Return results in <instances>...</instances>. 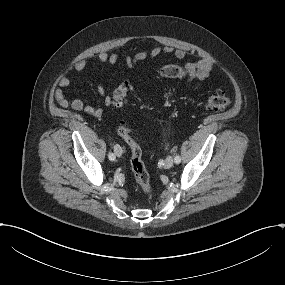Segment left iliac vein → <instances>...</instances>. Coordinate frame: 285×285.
Masks as SVG:
<instances>
[{"label":"left iliac vein","mask_w":285,"mask_h":285,"mask_svg":"<svg viewBox=\"0 0 285 285\" xmlns=\"http://www.w3.org/2000/svg\"><path fill=\"white\" fill-rule=\"evenodd\" d=\"M173 165V158L168 156L165 160V168H171Z\"/></svg>","instance_id":"left-iliac-vein-1"}]
</instances>
